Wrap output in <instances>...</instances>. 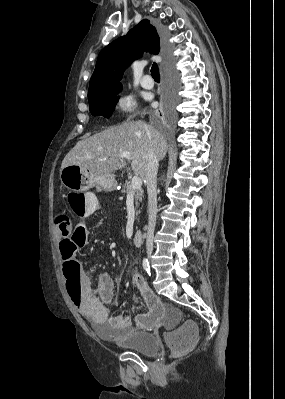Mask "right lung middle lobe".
<instances>
[{
    "mask_svg": "<svg viewBox=\"0 0 285 399\" xmlns=\"http://www.w3.org/2000/svg\"><path fill=\"white\" fill-rule=\"evenodd\" d=\"M106 93L98 95L89 99V109L93 116H104L109 118L113 112V108L118 101L117 94L119 93Z\"/></svg>",
    "mask_w": 285,
    "mask_h": 399,
    "instance_id": "1",
    "label": "right lung middle lobe"
}]
</instances>
